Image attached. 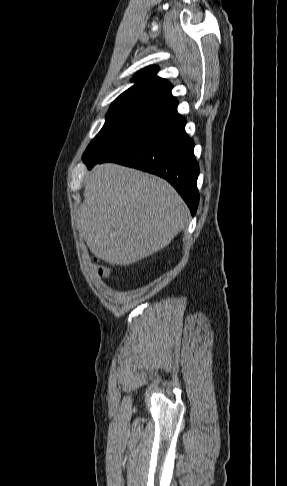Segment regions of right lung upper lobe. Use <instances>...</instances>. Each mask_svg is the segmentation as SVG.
Wrapping results in <instances>:
<instances>
[{"mask_svg": "<svg viewBox=\"0 0 287 486\" xmlns=\"http://www.w3.org/2000/svg\"><path fill=\"white\" fill-rule=\"evenodd\" d=\"M158 67L150 66L138 72L133 81L135 85L122 93L111 105L150 106L177 112L178 101L171 94L172 85L156 76Z\"/></svg>", "mask_w": 287, "mask_h": 486, "instance_id": "cb5924a9", "label": "right lung upper lobe"}]
</instances>
